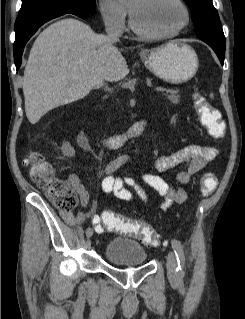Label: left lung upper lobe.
<instances>
[{
    "mask_svg": "<svg viewBox=\"0 0 245 319\" xmlns=\"http://www.w3.org/2000/svg\"><path fill=\"white\" fill-rule=\"evenodd\" d=\"M190 7L197 37L210 46L225 50V36L212 0H184Z\"/></svg>",
    "mask_w": 245,
    "mask_h": 319,
    "instance_id": "left-lung-upper-lobe-1",
    "label": "left lung upper lobe"
}]
</instances>
